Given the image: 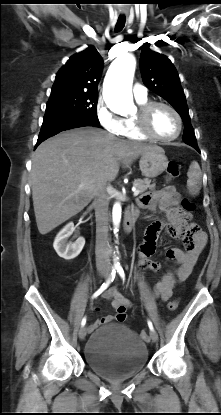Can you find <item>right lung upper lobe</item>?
Instances as JSON below:
<instances>
[{"mask_svg": "<svg viewBox=\"0 0 221 415\" xmlns=\"http://www.w3.org/2000/svg\"><path fill=\"white\" fill-rule=\"evenodd\" d=\"M103 69V60L90 46L69 58L56 74L51 93L83 91L98 93L97 85Z\"/></svg>", "mask_w": 221, "mask_h": 415, "instance_id": "1", "label": "right lung upper lobe"}]
</instances>
